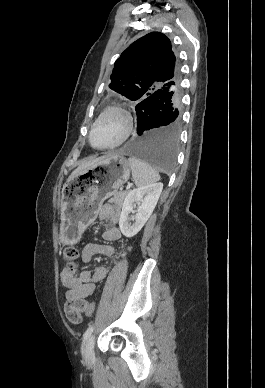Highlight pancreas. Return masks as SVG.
Returning <instances> with one entry per match:
<instances>
[{
	"label": "pancreas",
	"instance_id": "1",
	"mask_svg": "<svg viewBox=\"0 0 265 388\" xmlns=\"http://www.w3.org/2000/svg\"><path fill=\"white\" fill-rule=\"evenodd\" d=\"M126 194L127 192H117V194H114L113 198H110V204H118V206H121Z\"/></svg>",
	"mask_w": 265,
	"mask_h": 388
}]
</instances>
